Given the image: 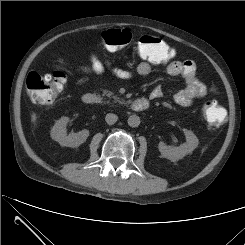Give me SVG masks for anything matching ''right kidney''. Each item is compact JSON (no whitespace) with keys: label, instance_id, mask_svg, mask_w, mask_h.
Returning <instances> with one entry per match:
<instances>
[{"label":"right kidney","instance_id":"obj_1","mask_svg":"<svg viewBox=\"0 0 245 245\" xmlns=\"http://www.w3.org/2000/svg\"><path fill=\"white\" fill-rule=\"evenodd\" d=\"M69 121L68 117H62L56 121L51 130V137L61 146L78 147L84 143L89 136L88 130H82L75 134L67 135L66 126Z\"/></svg>","mask_w":245,"mask_h":245}]
</instances>
